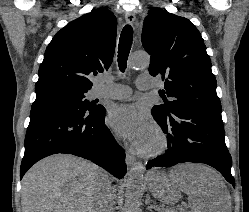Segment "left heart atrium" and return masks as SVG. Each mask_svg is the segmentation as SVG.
<instances>
[{"label":"left heart atrium","instance_id":"obj_1","mask_svg":"<svg viewBox=\"0 0 249 212\" xmlns=\"http://www.w3.org/2000/svg\"><path fill=\"white\" fill-rule=\"evenodd\" d=\"M108 124L117 134L126 138L135 149H144L149 125L135 105L114 106L109 113Z\"/></svg>","mask_w":249,"mask_h":212}]
</instances>
